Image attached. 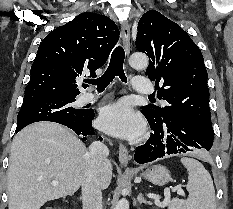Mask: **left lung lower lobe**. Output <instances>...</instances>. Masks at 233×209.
Here are the masks:
<instances>
[{
    "mask_svg": "<svg viewBox=\"0 0 233 209\" xmlns=\"http://www.w3.org/2000/svg\"><path fill=\"white\" fill-rule=\"evenodd\" d=\"M145 117L153 133L145 145L136 149L134 160L140 164L165 155L192 151L191 148H203L209 151L213 145L214 132L211 126L187 117L162 121Z\"/></svg>",
    "mask_w": 233,
    "mask_h": 209,
    "instance_id": "1",
    "label": "left lung lower lobe"
}]
</instances>
